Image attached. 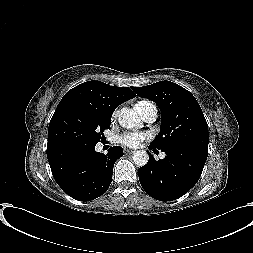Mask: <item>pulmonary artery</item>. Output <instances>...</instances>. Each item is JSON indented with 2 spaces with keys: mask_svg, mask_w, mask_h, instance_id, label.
I'll use <instances>...</instances> for the list:
<instances>
[{
  "mask_svg": "<svg viewBox=\"0 0 253 253\" xmlns=\"http://www.w3.org/2000/svg\"><path fill=\"white\" fill-rule=\"evenodd\" d=\"M136 109L141 118L148 123L154 122L158 117V107L153 102L143 101L136 106ZM161 156L164 157V154Z\"/></svg>",
  "mask_w": 253,
  "mask_h": 253,
  "instance_id": "e3ab8cb5",
  "label": "pulmonary artery"
}]
</instances>
